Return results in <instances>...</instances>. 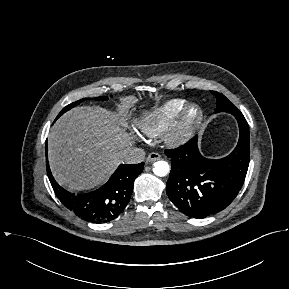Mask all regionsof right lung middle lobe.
<instances>
[{"label": "right lung middle lobe", "instance_id": "obj_1", "mask_svg": "<svg viewBox=\"0 0 289 289\" xmlns=\"http://www.w3.org/2000/svg\"><path fill=\"white\" fill-rule=\"evenodd\" d=\"M108 97H97L95 98V100H107ZM84 100H86V98L81 99L79 101H76L74 103H71L69 105H67L65 108L62 109V111L59 113V115L57 116L56 119H58L62 114H64L66 111L70 110L71 108L75 107L76 105L80 104L81 102H83Z\"/></svg>", "mask_w": 289, "mask_h": 289}]
</instances>
